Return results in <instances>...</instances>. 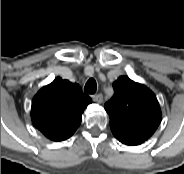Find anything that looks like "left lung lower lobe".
I'll return each mask as SVG.
<instances>
[{"label":"left lung lower lobe","instance_id":"obj_1","mask_svg":"<svg viewBox=\"0 0 184 174\" xmlns=\"http://www.w3.org/2000/svg\"><path fill=\"white\" fill-rule=\"evenodd\" d=\"M113 135L115 136V138H117L123 144L130 145V146L139 145V144L144 142V141H140V140H137V139H134V138L121 136V135H118V134H113Z\"/></svg>","mask_w":184,"mask_h":174}]
</instances>
